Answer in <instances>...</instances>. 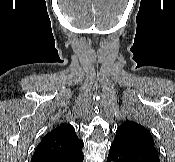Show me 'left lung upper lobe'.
<instances>
[{"instance_id":"obj_1","label":"left lung upper lobe","mask_w":175,"mask_h":162,"mask_svg":"<svg viewBox=\"0 0 175 162\" xmlns=\"http://www.w3.org/2000/svg\"><path fill=\"white\" fill-rule=\"evenodd\" d=\"M115 139H120L129 143L154 145L150 132L142 125L133 121H125L121 124L117 128Z\"/></svg>"}]
</instances>
